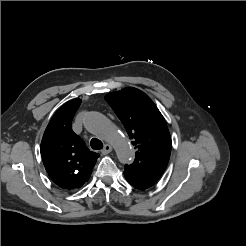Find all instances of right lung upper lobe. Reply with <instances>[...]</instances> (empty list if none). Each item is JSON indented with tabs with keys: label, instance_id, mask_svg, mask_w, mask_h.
<instances>
[{
	"label": "right lung upper lobe",
	"instance_id": "cb5924a9",
	"mask_svg": "<svg viewBox=\"0 0 246 246\" xmlns=\"http://www.w3.org/2000/svg\"><path fill=\"white\" fill-rule=\"evenodd\" d=\"M80 103V99H73L55 113L44 132L40 147L49 177L56 185L67 190L80 188L88 181L99 157L72 130V119Z\"/></svg>",
	"mask_w": 246,
	"mask_h": 246
}]
</instances>
